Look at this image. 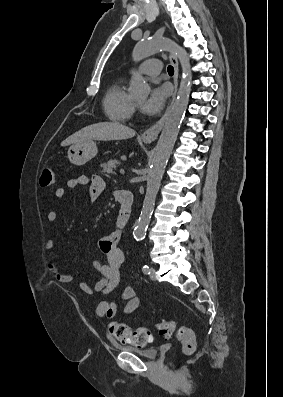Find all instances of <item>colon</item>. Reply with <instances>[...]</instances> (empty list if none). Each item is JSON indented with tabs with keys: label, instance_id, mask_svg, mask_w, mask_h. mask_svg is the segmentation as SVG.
<instances>
[{
	"label": "colon",
	"instance_id": "1",
	"mask_svg": "<svg viewBox=\"0 0 283 397\" xmlns=\"http://www.w3.org/2000/svg\"><path fill=\"white\" fill-rule=\"evenodd\" d=\"M40 186L43 188L51 187L55 183V173L53 168L45 167L40 174ZM175 322L172 319H165L155 325V331L159 337L170 339L175 333ZM109 332L116 340L130 344L137 348H143L153 341L154 335L149 328L131 329L124 323L112 322L109 325ZM177 338L182 341V351L191 354L196 348V339L192 330L187 326H181L176 331Z\"/></svg>",
	"mask_w": 283,
	"mask_h": 397
}]
</instances>
